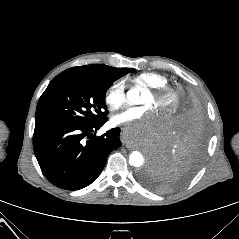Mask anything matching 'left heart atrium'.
Wrapping results in <instances>:
<instances>
[{
  "mask_svg": "<svg viewBox=\"0 0 239 239\" xmlns=\"http://www.w3.org/2000/svg\"><path fill=\"white\" fill-rule=\"evenodd\" d=\"M138 121L135 127L130 124ZM115 125H127L128 135L132 142L139 139L144 133H151L156 127V113L150 106L129 107L112 117Z\"/></svg>",
  "mask_w": 239,
  "mask_h": 239,
  "instance_id": "left-heart-atrium-1",
  "label": "left heart atrium"
}]
</instances>
